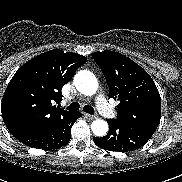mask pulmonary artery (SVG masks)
<instances>
[{
  "mask_svg": "<svg viewBox=\"0 0 182 182\" xmlns=\"http://www.w3.org/2000/svg\"><path fill=\"white\" fill-rule=\"evenodd\" d=\"M95 102L98 110L103 116L107 118H112L114 116L111 106L108 104L107 100L102 94H97L95 97Z\"/></svg>",
  "mask_w": 182,
  "mask_h": 182,
  "instance_id": "pulmonary-artery-1",
  "label": "pulmonary artery"
}]
</instances>
